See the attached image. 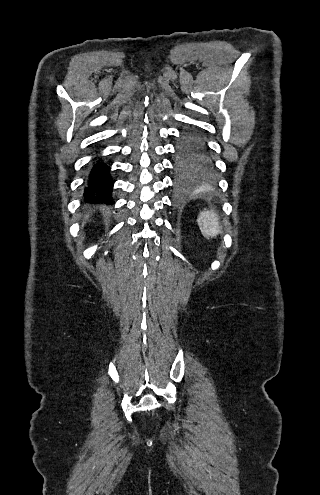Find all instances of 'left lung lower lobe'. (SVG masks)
Masks as SVG:
<instances>
[{"label": "left lung lower lobe", "mask_w": 320, "mask_h": 495, "mask_svg": "<svg viewBox=\"0 0 320 495\" xmlns=\"http://www.w3.org/2000/svg\"><path fill=\"white\" fill-rule=\"evenodd\" d=\"M198 137V143L200 145V148H201V151L203 152V154L205 155V157L208 159L209 163L211 164L212 166V159L210 158L209 154H208V151L206 149V146H205V143L204 141L197 135Z\"/></svg>", "instance_id": "left-lung-lower-lobe-1"}]
</instances>
